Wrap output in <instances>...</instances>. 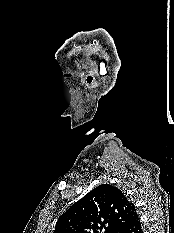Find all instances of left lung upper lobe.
Segmentation results:
<instances>
[{
  "mask_svg": "<svg viewBox=\"0 0 174 233\" xmlns=\"http://www.w3.org/2000/svg\"><path fill=\"white\" fill-rule=\"evenodd\" d=\"M135 215V205L121 190L102 184L61 215L53 233H119Z\"/></svg>",
  "mask_w": 174,
  "mask_h": 233,
  "instance_id": "1",
  "label": "left lung upper lobe"
}]
</instances>
